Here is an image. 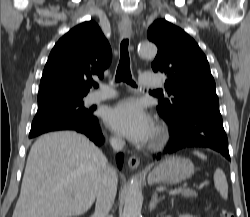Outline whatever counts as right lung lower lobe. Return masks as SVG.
<instances>
[{"label": "right lung lower lobe", "mask_w": 250, "mask_h": 217, "mask_svg": "<svg viewBox=\"0 0 250 217\" xmlns=\"http://www.w3.org/2000/svg\"><path fill=\"white\" fill-rule=\"evenodd\" d=\"M70 130H74V131L85 134L86 136L90 138V140H92L97 145H101L104 142V137L101 133L97 119L95 123H93L89 127H79V128H74ZM122 163H123V155L120 153L117 155V165L119 168L122 167Z\"/></svg>", "instance_id": "98d812e1"}]
</instances>
